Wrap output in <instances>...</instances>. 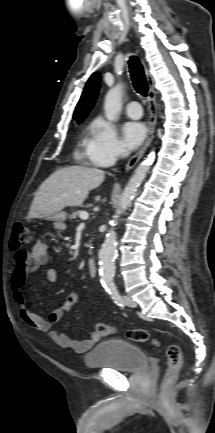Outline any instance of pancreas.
<instances>
[{
	"instance_id": "obj_1",
	"label": "pancreas",
	"mask_w": 215,
	"mask_h": 433,
	"mask_svg": "<svg viewBox=\"0 0 215 433\" xmlns=\"http://www.w3.org/2000/svg\"><path fill=\"white\" fill-rule=\"evenodd\" d=\"M81 213H83V211H81V210L75 211V212H73V213L69 216V218H70L71 220H72V219H76L77 216H80Z\"/></svg>"
}]
</instances>
